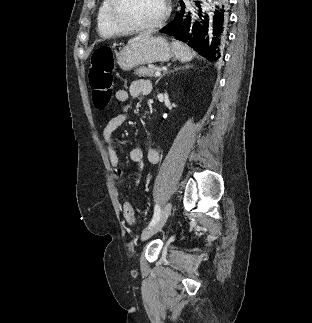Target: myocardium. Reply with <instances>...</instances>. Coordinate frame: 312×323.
<instances>
[{
	"label": "myocardium",
	"mask_w": 312,
	"mask_h": 323,
	"mask_svg": "<svg viewBox=\"0 0 312 323\" xmlns=\"http://www.w3.org/2000/svg\"><path fill=\"white\" fill-rule=\"evenodd\" d=\"M106 2L109 4L106 16L109 21H114L116 31H150V27L163 25L164 21H168L173 11L171 0H161V12L156 20H123L118 16L120 11L119 0H106Z\"/></svg>",
	"instance_id": "f54148a6"
}]
</instances>
